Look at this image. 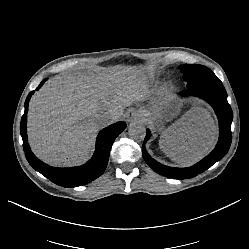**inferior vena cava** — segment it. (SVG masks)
<instances>
[{
    "label": "inferior vena cava",
    "instance_id": "inferior-vena-cava-1",
    "mask_svg": "<svg viewBox=\"0 0 249 249\" xmlns=\"http://www.w3.org/2000/svg\"><path fill=\"white\" fill-rule=\"evenodd\" d=\"M111 119H112L111 115L103 114V115L99 116L98 117L99 126L104 127V126L112 123Z\"/></svg>",
    "mask_w": 249,
    "mask_h": 249
}]
</instances>
